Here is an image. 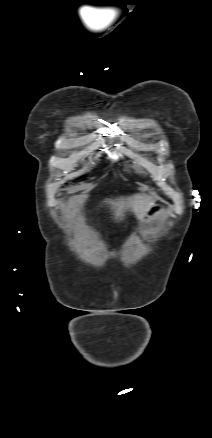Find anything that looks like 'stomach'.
<instances>
[{"mask_svg": "<svg viewBox=\"0 0 212 438\" xmlns=\"http://www.w3.org/2000/svg\"><path fill=\"white\" fill-rule=\"evenodd\" d=\"M167 214V211L165 207L161 204L154 203L151 205L143 216V223L144 224H151L160 219V217Z\"/></svg>", "mask_w": 212, "mask_h": 438, "instance_id": "stomach-1", "label": "stomach"}]
</instances>
